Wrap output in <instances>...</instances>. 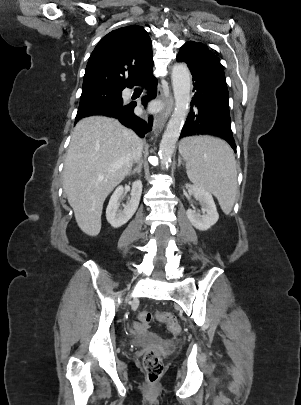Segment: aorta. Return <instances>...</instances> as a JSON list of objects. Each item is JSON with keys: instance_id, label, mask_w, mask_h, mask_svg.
Segmentation results:
<instances>
[{"instance_id": "aorta-1", "label": "aorta", "mask_w": 301, "mask_h": 405, "mask_svg": "<svg viewBox=\"0 0 301 405\" xmlns=\"http://www.w3.org/2000/svg\"><path fill=\"white\" fill-rule=\"evenodd\" d=\"M171 78L175 108L159 147V158L162 167L168 166L171 162L176 143L188 115L191 100V74L188 67L182 63L175 64L172 68Z\"/></svg>"}]
</instances>
